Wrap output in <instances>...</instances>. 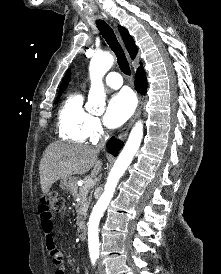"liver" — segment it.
<instances>
[{
	"mask_svg": "<svg viewBox=\"0 0 221 274\" xmlns=\"http://www.w3.org/2000/svg\"><path fill=\"white\" fill-rule=\"evenodd\" d=\"M100 149L83 145L51 143L44 151L39 165L41 189L47 194L58 180L82 175L90 169L91 177H96L102 169L98 160Z\"/></svg>",
	"mask_w": 221,
	"mask_h": 274,
	"instance_id": "6515ba94",
	"label": "liver"
}]
</instances>
